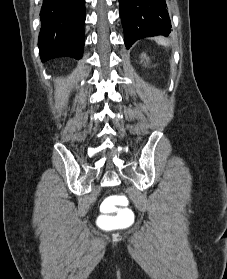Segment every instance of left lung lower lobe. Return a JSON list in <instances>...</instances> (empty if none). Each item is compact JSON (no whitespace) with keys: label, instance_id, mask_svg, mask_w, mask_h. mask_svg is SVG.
Returning a JSON list of instances; mask_svg holds the SVG:
<instances>
[{"label":"left lung lower lobe","instance_id":"left-lung-lower-lobe-1","mask_svg":"<svg viewBox=\"0 0 227 279\" xmlns=\"http://www.w3.org/2000/svg\"><path fill=\"white\" fill-rule=\"evenodd\" d=\"M119 4L126 48L138 39L171 32L165 0H119Z\"/></svg>","mask_w":227,"mask_h":279}]
</instances>
